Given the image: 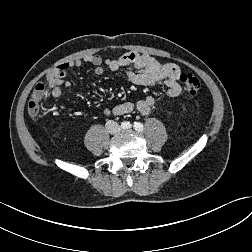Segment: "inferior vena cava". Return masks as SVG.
<instances>
[{
    "label": "inferior vena cava",
    "mask_w": 252,
    "mask_h": 252,
    "mask_svg": "<svg viewBox=\"0 0 252 252\" xmlns=\"http://www.w3.org/2000/svg\"><path fill=\"white\" fill-rule=\"evenodd\" d=\"M106 129L111 134H116L121 131V127L114 121L106 122Z\"/></svg>",
    "instance_id": "1"
}]
</instances>
